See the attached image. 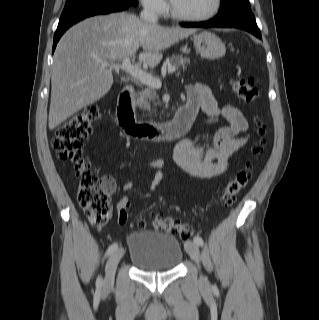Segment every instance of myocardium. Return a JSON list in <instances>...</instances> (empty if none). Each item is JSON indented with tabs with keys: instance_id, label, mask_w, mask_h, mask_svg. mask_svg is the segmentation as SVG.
<instances>
[{
	"instance_id": "obj_1",
	"label": "myocardium",
	"mask_w": 319,
	"mask_h": 320,
	"mask_svg": "<svg viewBox=\"0 0 319 320\" xmlns=\"http://www.w3.org/2000/svg\"><path fill=\"white\" fill-rule=\"evenodd\" d=\"M222 5V0H214L213 8L206 14L203 15H196V16H189L183 15L178 13L174 6L171 5L170 7V15L172 18L183 21V22H203L212 19L214 16L217 15Z\"/></svg>"
}]
</instances>
